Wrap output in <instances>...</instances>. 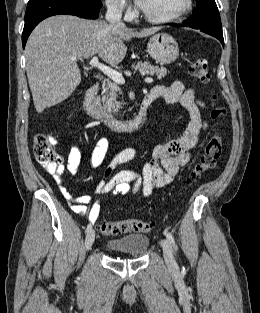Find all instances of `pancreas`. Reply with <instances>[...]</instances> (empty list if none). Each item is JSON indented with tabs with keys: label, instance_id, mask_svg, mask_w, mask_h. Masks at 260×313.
Masks as SVG:
<instances>
[{
	"label": "pancreas",
	"instance_id": "pancreas-1",
	"mask_svg": "<svg viewBox=\"0 0 260 313\" xmlns=\"http://www.w3.org/2000/svg\"><path fill=\"white\" fill-rule=\"evenodd\" d=\"M134 69L139 70L141 75H156L158 79H161L167 75V70L164 67H158L150 65L149 62H138L137 65H132ZM117 92H120L119 87L116 83L108 82L107 87L102 93L101 102L103 103V108L108 112H118L121 108V103L117 101Z\"/></svg>",
	"mask_w": 260,
	"mask_h": 313
}]
</instances>
